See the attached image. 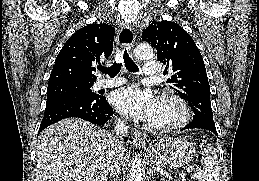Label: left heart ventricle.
Instances as JSON below:
<instances>
[{
	"label": "left heart ventricle",
	"instance_id": "obj_1",
	"mask_svg": "<svg viewBox=\"0 0 259 181\" xmlns=\"http://www.w3.org/2000/svg\"><path fill=\"white\" fill-rule=\"evenodd\" d=\"M178 116L177 108L169 102L158 101L157 110L149 121L154 124H166L172 122Z\"/></svg>",
	"mask_w": 259,
	"mask_h": 181
}]
</instances>
